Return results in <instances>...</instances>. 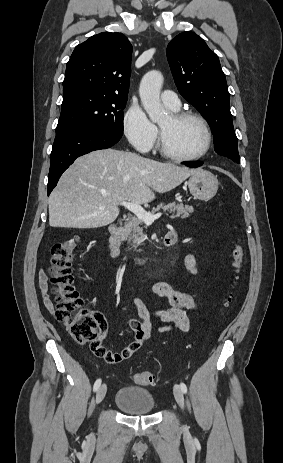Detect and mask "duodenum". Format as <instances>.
I'll return each instance as SVG.
<instances>
[{
	"mask_svg": "<svg viewBox=\"0 0 283 463\" xmlns=\"http://www.w3.org/2000/svg\"><path fill=\"white\" fill-rule=\"evenodd\" d=\"M108 231L110 234L109 244H110L111 256L113 259L119 260L121 262L131 263L134 266H138V267L145 265L149 261V258L122 256L120 254L121 229L118 223L109 224ZM176 241H177V235L174 232H168L164 237L163 244L165 247H170L174 245Z\"/></svg>",
	"mask_w": 283,
	"mask_h": 463,
	"instance_id": "obj_1",
	"label": "duodenum"
}]
</instances>
